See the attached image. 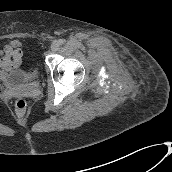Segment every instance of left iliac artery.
<instances>
[{"mask_svg": "<svg viewBox=\"0 0 172 172\" xmlns=\"http://www.w3.org/2000/svg\"><path fill=\"white\" fill-rule=\"evenodd\" d=\"M58 42H59L60 45H62V44L65 43V39H60Z\"/></svg>", "mask_w": 172, "mask_h": 172, "instance_id": "obj_1", "label": "left iliac artery"}]
</instances>
